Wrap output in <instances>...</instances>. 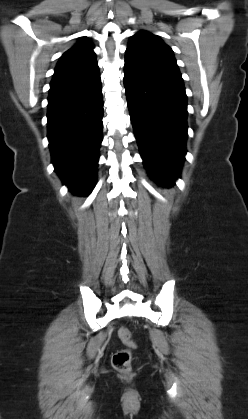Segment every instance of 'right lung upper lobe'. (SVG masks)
Listing matches in <instances>:
<instances>
[{"label":"right lung upper lobe","instance_id":"right-lung-upper-lobe-1","mask_svg":"<svg viewBox=\"0 0 248 419\" xmlns=\"http://www.w3.org/2000/svg\"><path fill=\"white\" fill-rule=\"evenodd\" d=\"M93 48L94 45L86 37L80 38L76 45L61 56L53 77L72 74L96 63Z\"/></svg>","mask_w":248,"mask_h":419}]
</instances>
